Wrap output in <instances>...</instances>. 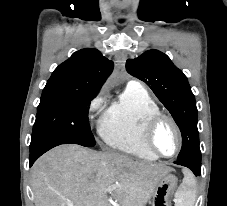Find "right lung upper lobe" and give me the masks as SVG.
<instances>
[{
    "label": "right lung upper lobe",
    "mask_w": 227,
    "mask_h": 206,
    "mask_svg": "<svg viewBox=\"0 0 227 206\" xmlns=\"http://www.w3.org/2000/svg\"><path fill=\"white\" fill-rule=\"evenodd\" d=\"M113 62L94 48L77 51L59 65L45 88L97 94L113 69Z\"/></svg>",
    "instance_id": "cb5924a9"
}]
</instances>
